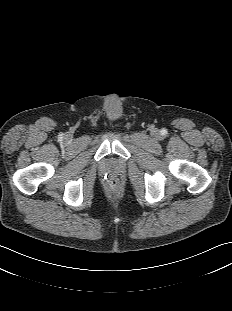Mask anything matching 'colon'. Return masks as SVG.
<instances>
[{"label":"colon","instance_id":"obj_1","mask_svg":"<svg viewBox=\"0 0 232 311\" xmlns=\"http://www.w3.org/2000/svg\"><path fill=\"white\" fill-rule=\"evenodd\" d=\"M117 188H118V183H117V181L111 180L110 183H109V189H110L111 191H116Z\"/></svg>","mask_w":232,"mask_h":311}]
</instances>
